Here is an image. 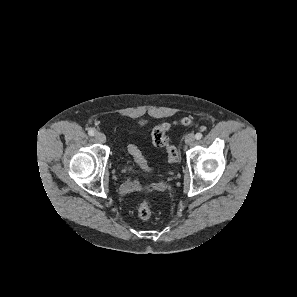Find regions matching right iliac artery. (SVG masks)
<instances>
[{
  "label": "right iliac artery",
  "mask_w": 297,
  "mask_h": 297,
  "mask_svg": "<svg viewBox=\"0 0 297 297\" xmlns=\"http://www.w3.org/2000/svg\"><path fill=\"white\" fill-rule=\"evenodd\" d=\"M88 134H89L90 136H94V135H95V131H94L93 129H89V130H88Z\"/></svg>",
  "instance_id": "82829eb1"
}]
</instances>
